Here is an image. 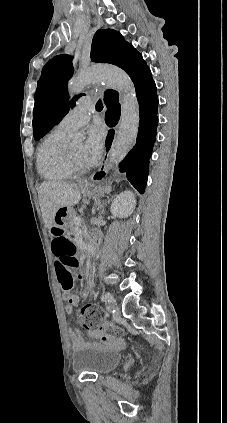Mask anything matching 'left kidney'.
Masks as SVG:
<instances>
[{
	"label": "left kidney",
	"instance_id": "1",
	"mask_svg": "<svg viewBox=\"0 0 227 423\" xmlns=\"http://www.w3.org/2000/svg\"><path fill=\"white\" fill-rule=\"evenodd\" d=\"M135 204L136 200L133 192L126 190V192H121L119 196H116L110 211L112 215H117V217H128L135 210Z\"/></svg>",
	"mask_w": 227,
	"mask_h": 423
}]
</instances>
